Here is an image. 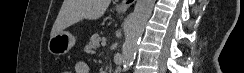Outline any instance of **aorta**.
<instances>
[{"mask_svg": "<svg viewBox=\"0 0 244 73\" xmlns=\"http://www.w3.org/2000/svg\"><path fill=\"white\" fill-rule=\"evenodd\" d=\"M155 0H137L129 29L122 49V62L125 70L133 63L139 40L152 13Z\"/></svg>", "mask_w": 244, "mask_h": 73, "instance_id": "aorta-1", "label": "aorta"}]
</instances>
